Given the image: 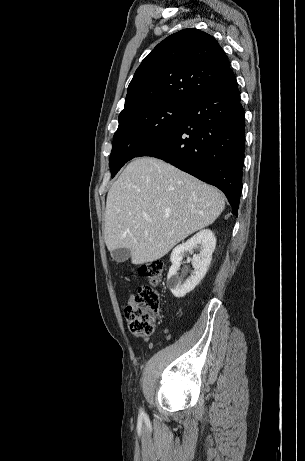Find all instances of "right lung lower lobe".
I'll use <instances>...</instances> for the list:
<instances>
[{
	"instance_id": "98d812e1",
	"label": "right lung lower lobe",
	"mask_w": 305,
	"mask_h": 461,
	"mask_svg": "<svg viewBox=\"0 0 305 461\" xmlns=\"http://www.w3.org/2000/svg\"><path fill=\"white\" fill-rule=\"evenodd\" d=\"M244 148L245 114L233 76L191 101L183 120L137 157L162 159L216 186L237 216Z\"/></svg>"
}]
</instances>
